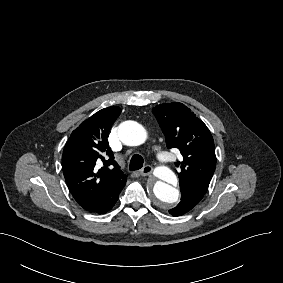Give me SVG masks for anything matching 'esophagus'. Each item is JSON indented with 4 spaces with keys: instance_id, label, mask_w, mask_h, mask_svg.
Here are the masks:
<instances>
[{
    "instance_id": "obj_1",
    "label": "esophagus",
    "mask_w": 283,
    "mask_h": 283,
    "mask_svg": "<svg viewBox=\"0 0 283 283\" xmlns=\"http://www.w3.org/2000/svg\"><path fill=\"white\" fill-rule=\"evenodd\" d=\"M153 172V168L150 165H146L144 166L141 170H139V174L141 176H148L149 174H151Z\"/></svg>"
}]
</instances>
